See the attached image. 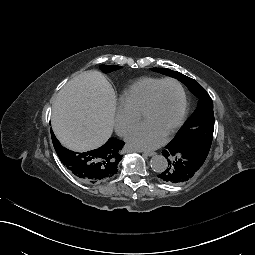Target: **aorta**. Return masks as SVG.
<instances>
[{"label":"aorta","mask_w":255,"mask_h":255,"mask_svg":"<svg viewBox=\"0 0 255 255\" xmlns=\"http://www.w3.org/2000/svg\"><path fill=\"white\" fill-rule=\"evenodd\" d=\"M151 168L156 173H162L168 166V161L163 155H155L150 161Z\"/></svg>","instance_id":"1"}]
</instances>
